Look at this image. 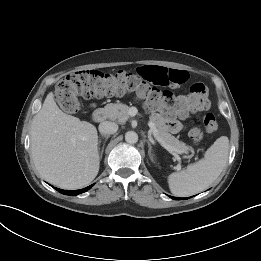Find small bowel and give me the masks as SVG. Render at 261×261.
Returning <instances> with one entry per match:
<instances>
[{"mask_svg":"<svg viewBox=\"0 0 261 261\" xmlns=\"http://www.w3.org/2000/svg\"><path fill=\"white\" fill-rule=\"evenodd\" d=\"M139 73L147 81L161 86H179L185 83L189 78L188 73L184 70L169 69L156 65L140 67ZM152 120L171 133H178L183 129V125L180 121L165 118L159 113H154Z\"/></svg>","mask_w":261,"mask_h":261,"instance_id":"1","label":"small bowel"}]
</instances>
